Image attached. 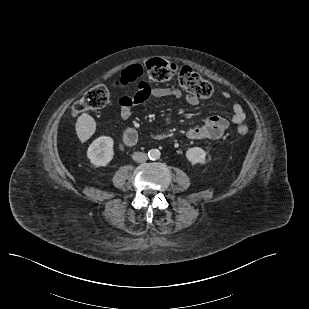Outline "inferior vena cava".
<instances>
[{
    "label": "inferior vena cava",
    "instance_id": "inferior-vena-cava-1",
    "mask_svg": "<svg viewBox=\"0 0 309 309\" xmlns=\"http://www.w3.org/2000/svg\"><path fill=\"white\" fill-rule=\"evenodd\" d=\"M132 159L135 162L142 163V162H145L147 160V154L144 153V152H135L132 155Z\"/></svg>",
    "mask_w": 309,
    "mask_h": 309
}]
</instances>
